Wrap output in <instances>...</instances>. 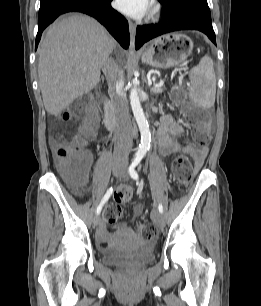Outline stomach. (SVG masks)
Masks as SVG:
<instances>
[{
    "instance_id": "1",
    "label": "stomach",
    "mask_w": 261,
    "mask_h": 306,
    "mask_svg": "<svg viewBox=\"0 0 261 306\" xmlns=\"http://www.w3.org/2000/svg\"><path fill=\"white\" fill-rule=\"evenodd\" d=\"M193 42L182 33L157 37L143 50L141 59L146 64L166 69L183 63L192 53Z\"/></svg>"
}]
</instances>
